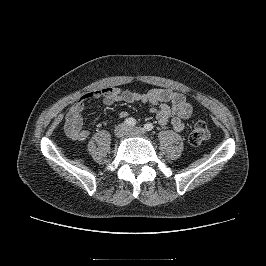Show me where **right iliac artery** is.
<instances>
[{
  "mask_svg": "<svg viewBox=\"0 0 266 266\" xmlns=\"http://www.w3.org/2000/svg\"><path fill=\"white\" fill-rule=\"evenodd\" d=\"M124 123L127 125V126H135L136 125V120L132 117H129V118H126Z\"/></svg>",
  "mask_w": 266,
  "mask_h": 266,
  "instance_id": "82829eb1",
  "label": "right iliac artery"
}]
</instances>
